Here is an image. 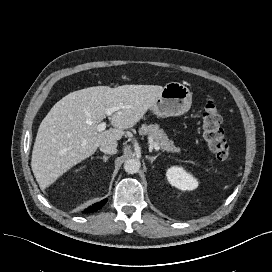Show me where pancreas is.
I'll return each instance as SVG.
<instances>
[{
  "label": "pancreas",
  "instance_id": "pancreas-1",
  "mask_svg": "<svg viewBox=\"0 0 272 272\" xmlns=\"http://www.w3.org/2000/svg\"><path fill=\"white\" fill-rule=\"evenodd\" d=\"M139 134L151 137L163 151L172 153L179 152V148L174 145L172 140H169L164 131L159 128L158 124H143L139 129Z\"/></svg>",
  "mask_w": 272,
  "mask_h": 272
}]
</instances>
